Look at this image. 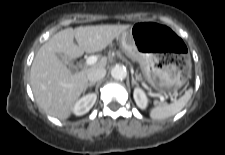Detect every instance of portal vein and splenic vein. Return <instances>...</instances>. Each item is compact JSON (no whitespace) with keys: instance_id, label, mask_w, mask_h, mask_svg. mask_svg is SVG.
Wrapping results in <instances>:
<instances>
[{"instance_id":"18ae733b","label":"portal vein and splenic vein","mask_w":225,"mask_h":155,"mask_svg":"<svg viewBox=\"0 0 225 155\" xmlns=\"http://www.w3.org/2000/svg\"><path fill=\"white\" fill-rule=\"evenodd\" d=\"M96 62H97V57L94 56V55L89 56V57L86 59V65H93V64H95ZM142 85H143L145 88L149 89V87H148L144 82H142ZM157 96L160 98V100H161L162 102H164V100H165L164 96H162L161 94H157Z\"/></svg>"}]
</instances>
